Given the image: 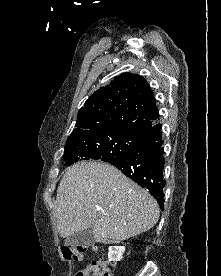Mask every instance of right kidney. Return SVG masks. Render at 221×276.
<instances>
[{
	"label": "right kidney",
	"mask_w": 221,
	"mask_h": 276,
	"mask_svg": "<svg viewBox=\"0 0 221 276\" xmlns=\"http://www.w3.org/2000/svg\"><path fill=\"white\" fill-rule=\"evenodd\" d=\"M124 246H110L108 251L109 261L117 262L123 258Z\"/></svg>",
	"instance_id": "right-kidney-1"
}]
</instances>
